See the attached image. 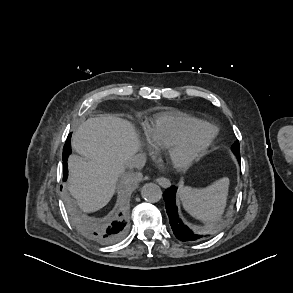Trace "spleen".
Returning a JSON list of instances; mask_svg holds the SVG:
<instances>
[{
  "instance_id": "spleen-1",
  "label": "spleen",
  "mask_w": 293,
  "mask_h": 293,
  "mask_svg": "<svg viewBox=\"0 0 293 293\" xmlns=\"http://www.w3.org/2000/svg\"><path fill=\"white\" fill-rule=\"evenodd\" d=\"M229 178H221L205 188L185 186L179 190L184 209L194 218L207 223L219 221L225 210Z\"/></svg>"
}]
</instances>
